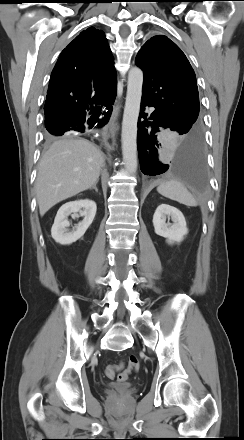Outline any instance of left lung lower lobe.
Returning a JSON list of instances; mask_svg holds the SVG:
<instances>
[{
    "label": "left lung lower lobe",
    "instance_id": "1",
    "mask_svg": "<svg viewBox=\"0 0 244 440\" xmlns=\"http://www.w3.org/2000/svg\"><path fill=\"white\" fill-rule=\"evenodd\" d=\"M146 106L153 105L142 99L137 135L141 171L150 176L171 171L192 188L201 189L206 175L202 132L186 136L181 146L171 153L159 133L164 129L175 131L180 135L184 133L179 132L158 109L151 113L148 121L146 118L148 114L144 113ZM141 118L145 121H141Z\"/></svg>",
    "mask_w": 244,
    "mask_h": 440
}]
</instances>
